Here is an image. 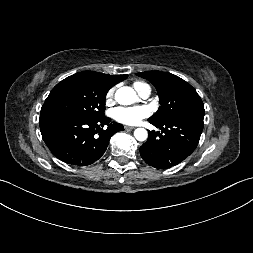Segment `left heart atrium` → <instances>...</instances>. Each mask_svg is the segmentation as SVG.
Segmentation results:
<instances>
[{"label": "left heart atrium", "mask_w": 253, "mask_h": 253, "mask_svg": "<svg viewBox=\"0 0 253 253\" xmlns=\"http://www.w3.org/2000/svg\"><path fill=\"white\" fill-rule=\"evenodd\" d=\"M113 118L123 124L133 125L149 115V109L145 106L117 107L113 110Z\"/></svg>", "instance_id": "39dd6f15"}]
</instances>
